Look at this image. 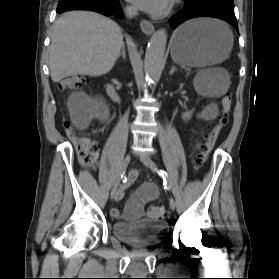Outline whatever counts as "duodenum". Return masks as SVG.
Instances as JSON below:
<instances>
[{
	"mask_svg": "<svg viewBox=\"0 0 279 279\" xmlns=\"http://www.w3.org/2000/svg\"><path fill=\"white\" fill-rule=\"evenodd\" d=\"M108 94L115 102H120V97L113 84L108 85Z\"/></svg>",
	"mask_w": 279,
	"mask_h": 279,
	"instance_id": "410a0bca",
	"label": "duodenum"
}]
</instances>
